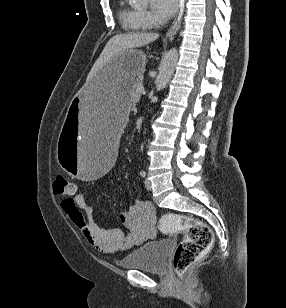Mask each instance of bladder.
Segmentation results:
<instances>
[{"instance_id": "obj_1", "label": "bladder", "mask_w": 286, "mask_h": 308, "mask_svg": "<svg viewBox=\"0 0 286 308\" xmlns=\"http://www.w3.org/2000/svg\"><path fill=\"white\" fill-rule=\"evenodd\" d=\"M169 248L167 240L150 241L131 251L119 263L123 269L163 273L167 266Z\"/></svg>"}]
</instances>
